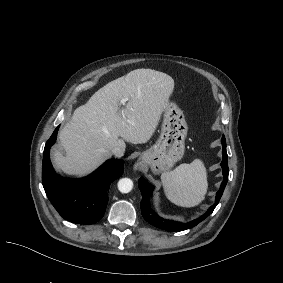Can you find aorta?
Listing matches in <instances>:
<instances>
[{
  "mask_svg": "<svg viewBox=\"0 0 283 283\" xmlns=\"http://www.w3.org/2000/svg\"><path fill=\"white\" fill-rule=\"evenodd\" d=\"M133 188V182L129 178H122L118 182V189L121 193H129Z\"/></svg>",
  "mask_w": 283,
  "mask_h": 283,
  "instance_id": "1",
  "label": "aorta"
}]
</instances>
